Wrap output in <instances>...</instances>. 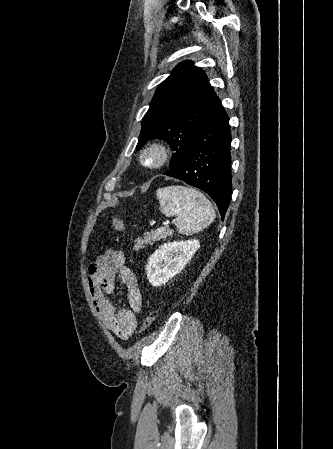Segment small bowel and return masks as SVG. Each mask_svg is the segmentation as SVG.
I'll use <instances>...</instances> for the list:
<instances>
[{
    "label": "small bowel",
    "instance_id": "1",
    "mask_svg": "<svg viewBox=\"0 0 333 449\" xmlns=\"http://www.w3.org/2000/svg\"><path fill=\"white\" fill-rule=\"evenodd\" d=\"M119 278L126 290L127 305L115 306L111 295ZM88 286L93 305L106 327L122 339L131 337L137 329V315L142 294L137 277L118 250H108L88 267Z\"/></svg>",
    "mask_w": 333,
    "mask_h": 449
}]
</instances>
